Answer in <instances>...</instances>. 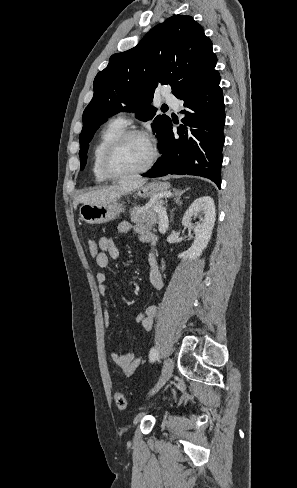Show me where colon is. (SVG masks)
<instances>
[{"instance_id":"obj_1","label":"colon","mask_w":297,"mask_h":488,"mask_svg":"<svg viewBox=\"0 0 297 488\" xmlns=\"http://www.w3.org/2000/svg\"><path fill=\"white\" fill-rule=\"evenodd\" d=\"M88 249H89V253H90L91 257L96 258V256L99 253L98 242L94 239H89L88 240ZM114 398H115L116 406L119 410L123 411L127 408L128 398H127L125 393L118 391L115 393Z\"/></svg>"}]
</instances>
